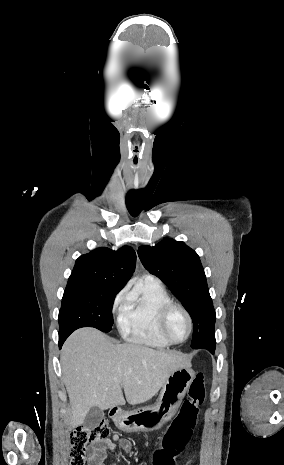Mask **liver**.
I'll use <instances>...</instances> for the list:
<instances>
[{
    "mask_svg": "<svg viewBox=\"0 0 284 465\" xmlns=\"http://www.w3.org/2000/svg\"><path fill=\"white\" fill-rule=\"evenodd\" d=\"M71 417L68 431L83 425L92 407L101 411L125 405H140L157 395L169 375L191 367L181 353L154 351L145 345L123 343L97 329H78L63 345L60 359Z\"/></svg>",
    "mask_w": 284,
    "mask_h": 465,
    "instance_id": "1",
    "label": "liver"
}]
</instances>
